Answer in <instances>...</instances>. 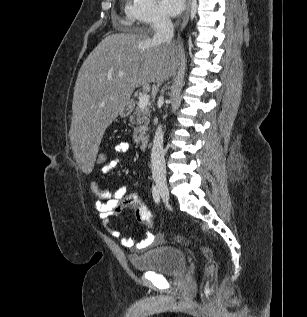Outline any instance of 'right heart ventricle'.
<instances>
[{"label": "right heart ventricle", "instance_id": "1", "mask_svg": "<svg viewBox=\"0 0 307 317\" xmlns=\"http://www.w3.org/2000/svg\"><path fill=\"white\" fill-rule=\"evenodd\" d=\"M128 14H129V12H128ZM129 18L132 20V18L130 17V15H129Z\"/></svg>", "mask_w": 307, "mask_h": 317}]
</instances>
